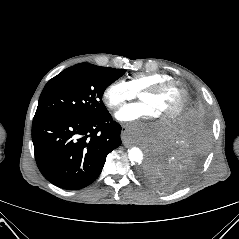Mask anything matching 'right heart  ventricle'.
<instances>
[{
  "label": "right heart ventricle",
  "instance_id": "right-heart-ventricle-1",
  "mask_svg": "<svg viewBox=\"0 0 239 239\" xmlns=\"http://www.w3.org/2000/svg\"><path fill=\"white\" fill-rule=\"evenodd\" d=\"M171 77L164 73L154 72V73H137L129 77L126 81L131 90L138 94L145 88L155 85L157 83L170 80Z\"/></svg>",
  "mask_w": 239,
  "mask_h": 239
}]
</instances>
